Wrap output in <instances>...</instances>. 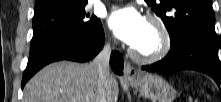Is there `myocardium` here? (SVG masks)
I'll return each mask as SVG.
<instances>
[{
  "mask_svg": "<svg viewBox=\"0 0 221 102\" xmlns=\"http://www.w3.org/2000/svg\"><path fill=\"white\" fill-rule=\"evenodd\" d=\"M146 21L153 24L160 33L161 44L159 49L152 54H142L134 47H130L129 53L133 59L140 63H154L162 60L170 52L172 46L171 34L166 24L155 15H148Z\"/></svg>",
  "mask_w": 221,
  "mask_h": 102,
  "instance_id": "myocardium-1",
  "label": "myocardium"
}]
</instances>
